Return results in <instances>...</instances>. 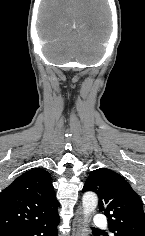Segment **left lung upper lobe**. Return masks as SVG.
I'll use <instances>...</instances> for the list:
<instances>
[{
	"label": "left lung upper lobe",
	"instance_id": "left-lung-upper-lobe-1",
	"mask_svg": "<svg viewBox=\"0 0 145 236\" xmlns=\"http://www.w3.org/2000/svg\"><path fill=\"white\" fill-rule=\"evenodd\" d=\"M99 196V210L108 217L115 236H145V214L140 197L118 173L99 168L92 171L82 192Z\"/></svg>",
	"mask_w": 145,
	"mask_h": 236
}]
</instances>
